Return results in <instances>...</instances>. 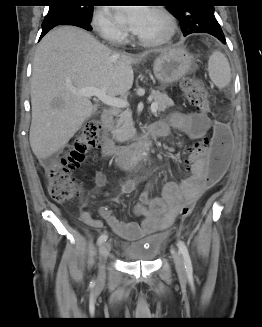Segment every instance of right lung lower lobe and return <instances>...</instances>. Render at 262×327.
<instances>
[{"label":"right lung lower lobe","instance_id":"right-lung-lower-lobe-1","mask_svg":"<svg viewBox=\"0 0 262 327\" xmlns=\"http://www.w3.org/2000/svg\"><path fill=\"white\" fill-rule=\"evenodd\" d=\"M58 25H73V26L81 27L88 31L92 30V27L90 26V21H87L85 19L75 17V16H59V17H54V18L43 21L42 33H41L40 39L49 30H51L52 28H54Z\"/></svg>","mask_w":262,"mask_h":327}]
</instances>
